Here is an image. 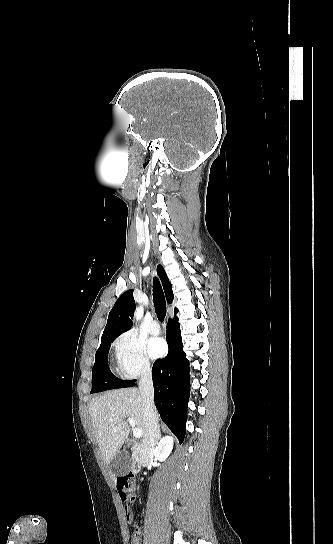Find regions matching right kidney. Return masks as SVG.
I'll list each match as a JSON object with an SVG mask.
<instances>
[{
	"instance_id": "ca27d5eb",
	"label": "right kidney",
	"mask_w": 333,
	"mask_h": 544,
	"mask_svg": "<svg viewBox=\"0 0 333 544\" xmlns=\"http://www.w3.org/2000/svg\"><path fill=\"white\" fill-rule=\"evenodd\" d=\"M173 449V438L165 436L161 439L158 446L154 450V456L159 461L163 462L167 459Z\"/></svg>"
}]
</instances>
